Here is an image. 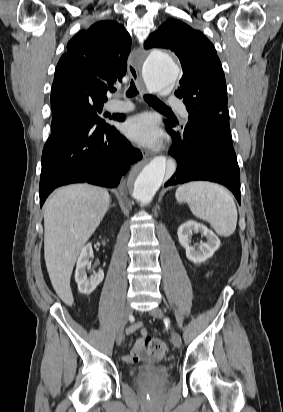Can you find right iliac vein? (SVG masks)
Here are the masks:
<instances>
[{
  "instance_id": "obj_1",
  "label": "right iliac vein",
  "mask_w": 283,
  "mask_h": 412,
  "mask_svg": "<svg viewBox=\"0 0 283 412\" xmlns=\"http://www.w3.org/2000/svg\"><path fill=\"white\" fill-rule=\"evenodd\" d=\"M132 311H133V309H132V307H131L130 305H126V306L124 307V310H123V318H122V325H121L120 328L118 329L117 335H116V343H117L118 345H120L121 342H122L123 339H124V326H125V324L127 323L129 316L132 314Z\"/></svg>"
}]
</instances>
